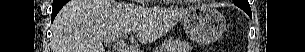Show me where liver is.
Segmentation results:
<instances>
[{"instance_id": "obj_1", "label": "liver", "mask_w": 305, "mask_h": 52, "mask_svg": "<svg viewBox=\"0 0 305 52\" xmlns=\"http://www.w3.org/2000/svg\"><path fill=\"white\" fill-rule=\"evenodd\" d=\"M192 8H144L114 0H71L52 27V52H105L102 42L136 32L142 44L160 39ZM130 41H136L131 35Z\"/></svg>"}]
</instances>
